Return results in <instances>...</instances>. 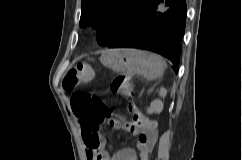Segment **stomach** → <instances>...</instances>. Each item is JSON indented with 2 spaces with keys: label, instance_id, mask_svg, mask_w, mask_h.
<instances>
[{
  "label": "stomach",
  "instance_id": "stomach-1",
  "mask_svg": "<svg viewBox=\"0 0 242 160\" xmlns=\"http://www.w3.org/2000/svg\"><path fill=\"white\" fill-rule=\"evenodd\" d=\"M102 64L114 72L141 74L146 79H154L160 74V63L156 55L143 50L118 48L107 50L101 57Z\"/></svg>",
  "mask_w": 242,
  "mask_h": 160
}]
</instances>
